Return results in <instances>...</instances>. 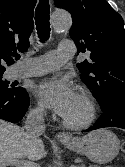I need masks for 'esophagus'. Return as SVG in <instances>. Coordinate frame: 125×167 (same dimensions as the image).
I'll use <instances>...</instances> for the list:
<instances>
[{"label": "esophagus", "mask_w": 125, "mask_h": 167, "mask_svg": "<svg viewBox=\"0 0 125 167\" xmlns=\"http://www.w3.org/2000/svg\"><path fill=\"white\" fill-rule=\"evenodd\" d=\"M57 138L59 140H70V139H72V136L68 133H65V132H59V133H57Z\"/></svg>", "instance_id": "34e87169"}]
</instances>
